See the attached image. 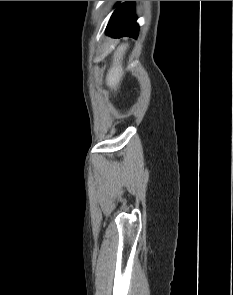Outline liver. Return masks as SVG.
Listing matches in <instances>:
<instances>
[{"mask_svg": "<svg viewBox=\"0 0 233 295\" xmlns=\"http://www.w3.org/2000/svg\"><path fill=\"white\" fill-rule=\"evenodd\" d=\"M128 44H121L117 47L113 55V63L108 70L106 76V84L112 90H117L122 77L124 75V70L122 66L123 56L127 50Z\"/></svg>", "mask_w": 233, "mask_h": 295, "instance_id": "6515ba94", "label": "liver"}]
</instances>
